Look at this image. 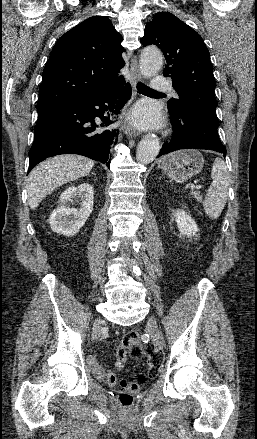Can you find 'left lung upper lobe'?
<instances>
[{
	"label": "left lung upper lobe",
	"mask_w": 257,
	"mask_h": 439,
	"mask_svg": "<svg viewBox=\"0 0 257 439\" xmlns=\"http://www.w3.org/2000/svg\"><path fill=\"white\" fill-rule=\"evenodd\" d=\"M141 43L154 44L164 53L163 74L172 78L179 96L168 101L169 113L198 110L218 120L213 66L202 37L173 14L159 12L147 22Z\"/></svg>",
	"instance_id": "1"
}]
</instances>
